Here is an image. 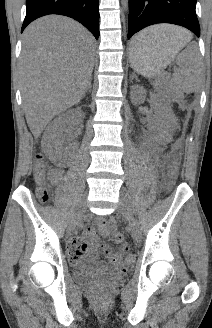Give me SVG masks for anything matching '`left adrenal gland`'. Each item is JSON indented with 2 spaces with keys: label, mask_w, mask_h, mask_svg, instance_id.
Returning a JSON list of instances; mask_svg holds the SVG:
<instances>
[{
  "label": "left adrenal gland",
  "mask_w": 212,
  "mask_h": 328,
  "mask_svg": "<svg viewBox=\"0 0 212 328\" xmlns=\"http://www.w3.org/2000/svg\"><path fill=\"white\" fill-rule=\"evenodd\" d=\"M131 77H135V78L137 79V76H136V74H134V73L132 74V76H131Z\"/></svg>",
  "instance_id": "a2214340"
}]
</instances>
